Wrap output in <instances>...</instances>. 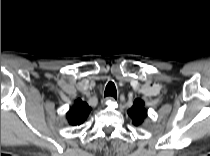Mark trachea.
I'll use <instances>...</instances> for the list:
<instances>
[{"label":"trachea","mask_w":210,"mask_h":156,"mask_svg":"<svg viewBox=\"0 0 210 156\" xmlns=\"http://www.w3.org/2000/svg\"><path fill=\"white\" fill-rule=\"evenodd\" d=\"M104 96L105 97H113L114 99L117 98L116 87H115V84L113 82H109L107 84Z\"/></svg>","instance_id":"1"}]
</instances>
